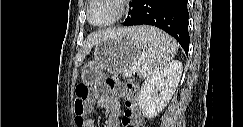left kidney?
Here are the masks:
<instances>
[{
	"label": "left kidney",
	"instance_id": "1",
	"mask_svg": "<svg viewBox=\"0 0 243 127\" xmlns=\"http://www.w3.org/2000/svg\"><path fill=\"white\" fill-rule=\"evenodd\" d=\"M183 65L173 61L147 77L139 93V108L147 118L156 117L169 103L178 86Z\"/></svg>",
	"mask_w": 243,
	"mask_h": 127
}]
</instances>
